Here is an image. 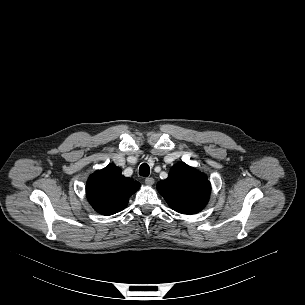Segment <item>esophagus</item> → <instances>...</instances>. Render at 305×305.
Here are the masks:
<instances>
[{"mask_svg":"<svg viewBox=\"0 0 305 305\" xmlns=\"http://www.w3.org/2000/svg\"><path fill=\"white\" fill-rule=\"evenodd\" d=\"M155 180L152 177H148L145 179V183L148 186H152L154 184Z\"/></svg>","mask_w":305,"mask_h":305,"instance_id":"34e87169","label":"esophagus"}]
</instances>
